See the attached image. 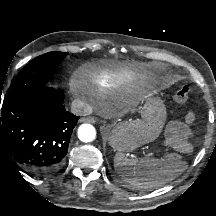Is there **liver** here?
Segmentation results:
<instances>
[{"label": "liver", "mask_w": 216, "mask_h": 216, "mask_svg": "<svg viewBox=\"0 0 216 216\" xmlns=\"http://www.w3.org/2000/svg\"><path fill=\"white\" fill-rule=\"evenodd\" d=\"M140 98L137 97V96H133L131 99H130V103L133 104V105H136L138 102H139Z\"/></svg>", "instance_id": "liver-1"}]
</instances>
